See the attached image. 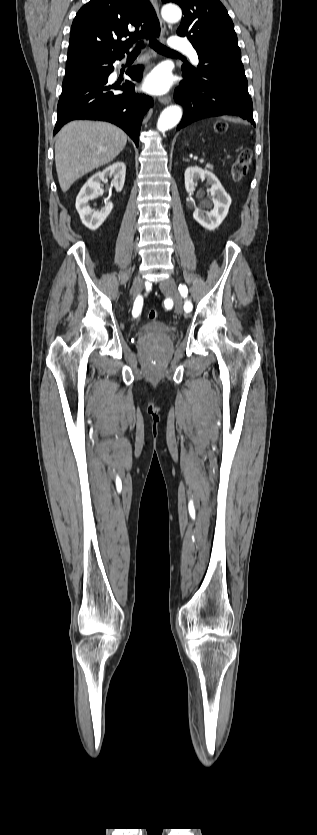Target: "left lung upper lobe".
<instances>
[{
    "label": "left lung upper lobe",
    "instance_id": "1",
    "mask_svg": "<svg viewBox=\"0 0 317 835\" xmlns=\"http://www.w3.org/2000/svg\"><path fill=\"white\" fill-rule=\"evenodd\" d=\"M178 4L184 17L177 30L195 49L241 54L233 22L218 0H162Z\"/></svg>",
    "mask_w": 317,
    "mask_h": 835
}]
</instances>
